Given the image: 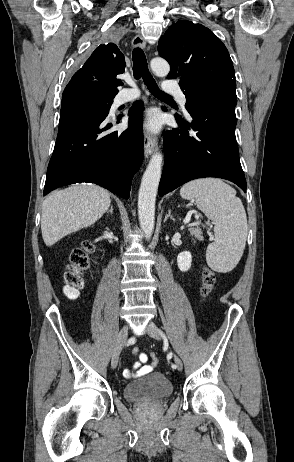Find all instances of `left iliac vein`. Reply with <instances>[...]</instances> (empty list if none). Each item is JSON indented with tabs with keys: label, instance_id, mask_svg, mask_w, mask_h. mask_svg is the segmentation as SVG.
<instances>
[{
	"label": "left iliac vein",
	"instance_id": "4c4485c4",
	"mask_svg": "<svg viewBox=\"0 0 294 462\" xmlns=\"http://www.w3.org/2000/svg\"><path fill=\"white\" fill-rule=\"evenodd\" d=\"M146 332H147V334L149 336H151L154 339H157V340L162 339L160 333L157 330L156 325L154 323H152V322L148 323V325L146 327ZM174 361H175L176 368L178 370H182V368H183L182 361L176 355H174Z\"/></svg>",
	"mask_w": 294,
	"mask_h": 462
}]
</instances>
